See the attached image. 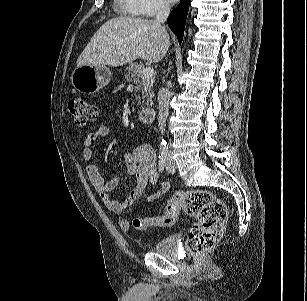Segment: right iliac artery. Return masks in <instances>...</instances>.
I'll return each mask as SVG.
<instances>
[{
	"label": "right iliac artery",
	"instance_id": "right-iliac-artery-1",
	"mask_svg": "<svg viewBox=\"0 0 307 301\" xmlns=\"http://www.w3.org/2000/svg\"><path fill=\"white\" fill-rule=\"evenodd\" d=\"M167 155H168V147L162 146L159 149V171L163 172L166 162H167Z\"/></svg>",
	"mask_w": 307,
	"mask_h": 301
}]
</instances>
